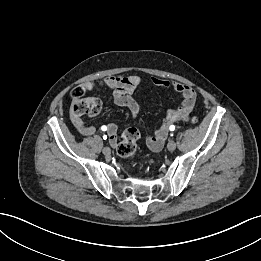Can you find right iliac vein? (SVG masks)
<instances>
[{
  "instance_id": "1",
  "label": "right iliac vein",
  "mask_w": 261,
  "mask_h": 261,
  "mask_svg": "<svg viewBox=\"0 0 261 261\" xmlns=\"http://www.w3.org/2000/svg\"><path fill=\"white\" fill-rule=\"evenodd\" d=\"M103 153H104V155L109 156L111 154L110 148L109 147H104L103 148Z\"/></svg>"
}]
</instances>
